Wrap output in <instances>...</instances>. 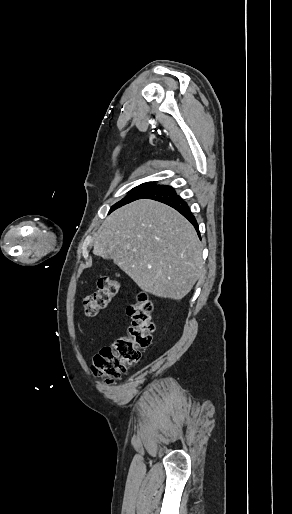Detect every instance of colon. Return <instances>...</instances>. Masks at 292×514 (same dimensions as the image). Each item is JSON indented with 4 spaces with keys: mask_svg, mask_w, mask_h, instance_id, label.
I'll list each match as a JSON object with an SVG mask.
<instances>
[{
    "mask_svg": "<svg viewBox=\"0 0 292 514\" xmlns=\"http://www.w3.org/2000/svg\"><path fill=\"white\" fill-rule=\"evenodd\" d=\"M98 290L84 297L83 304L88 316H98L119 295L120 282L116 276H104L97 282ZM131 323L126 333L103 348L93 358L92 371L96 376L109 380L119 379L127 368L141 359L142 350L153 339V307L148 295L137 293L127 306Z\"/></svg>",
    "mask_w": 292,
    "mask_h": 514,
    "instance_id": "colon-1",
    "label": "colon"
}]
</instances>
